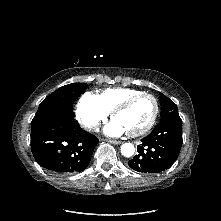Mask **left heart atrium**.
<instances>
[{
	"label": "left heart atrium",
	"instance_id": "39dd6f15",
	"mask_svg": "<svg viewBox=\"0 0 221 221\" xmlns=\"http://www.w3.org/2000/svg\"><path fill=\"white\" fill-rule=\"evenodd\" d=\"M126 132L125 127L117 120L112 121L105 128V133L109 136H120Z\"/></svg>",
	"mask_w": 221,
	"mask_h": 221
}]
</instances>
